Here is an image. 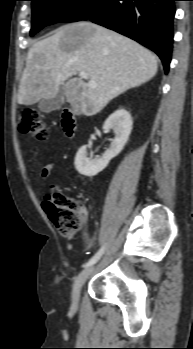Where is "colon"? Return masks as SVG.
<instances>
[{
  "label": "colon",
  "instance_id": "5ec220e1",
  "mask_svg": "<svg viewBox=\"0 0 193 349\" xmlns=\"http://www.w3.org/2000/svg\"><path fill=\"white\" fill-rule=\"evenodd\" d=\"M17 130L22 135H31L44 142L48 129L41 115L34 109L24 107L18 111ZM44 208L50 219L63 234H73L83 225L81 205L57 188H52L44 197Z\"/></svg>",
  "mask_w": 193,
  "mask_h": 349
}]
</instances>
